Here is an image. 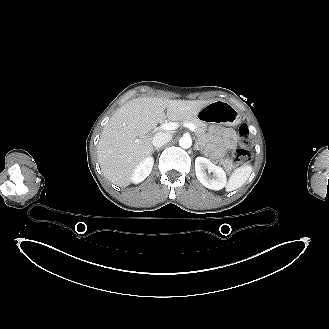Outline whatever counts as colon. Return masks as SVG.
Here are the masks:
<instances>
[{"mask_svg":"<svg viewBox=\"0 0 329 329\" xmlns=\"http://www.w3.org/2000/svg\"><path fill=\"white\" fill-rule=\"evenodd\" d=\"M239 147L234 151V160L238 164H246L252 159V152L249 147L252 142V136L249 127L242 124L238 130Z\"/></svg>","mask_w":329,"mask_h":329,"instance_id":"5ec220e1","label":"colon"}]
</instances>
